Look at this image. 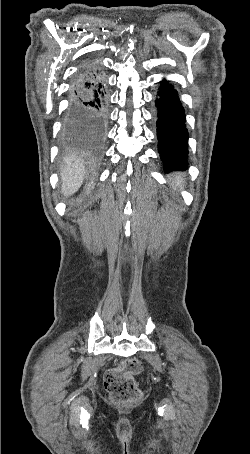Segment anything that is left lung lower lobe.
<instances>
[{
  "label": "left lung lower lobe",
  "mask_w": 250,
  "mask_h": 454,
  "mask_svg": "<svg viewBox=\"0 0 250 454\" xmlns=\"http://www.w3.org/2000/svg\"><path fill=\"white\" fill-rule=\"evenodd\" d=\"M157 107L158 151L165 172L188 167L186 117L177 91L164 80L155 101Z\"/></svg>",
  "instance_id": "1"
}]
</instances>
